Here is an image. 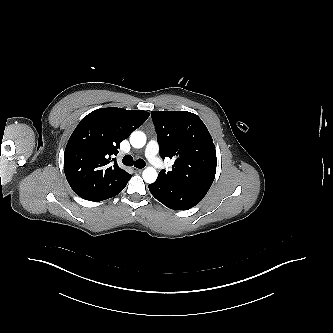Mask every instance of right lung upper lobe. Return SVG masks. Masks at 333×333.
Instances as JSON below:
<instances>
[{
	"label": "right lung upper lobe",
	"mask_w": 333,
	"mask_h": 333,
	"mask_svg": "<svg viewBox=\"0 0 333 333\" xmlns=\"http://www.w3.org/2000/svg\"><path fill=\"white\" fill-rule=\"evenodd\" d=\"M143 110L101 108L85 116L68 140L64 172L72 190L81 198L102 201L119 194L131 175L111 164L120 142L149 117Z\"/></svg>",
	"instance_id": "right-lung-upper-lobe-1"
}]
</instances>
